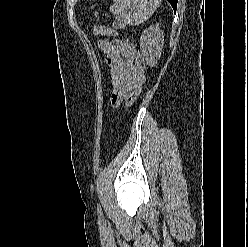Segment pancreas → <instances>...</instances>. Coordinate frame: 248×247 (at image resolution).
Instances as JSON below:
<instances>
[{"mask_svg":"<svg viewBox=\"0 0 248 247\" xmlns=\"http://www.w3.org/2000/svg\"><path fill=\"white\" fill-rule=\"evenodd\" d=\"M113 25H114L116 28H124V27H125L124 24H121V23H118V22H115Z\"/></svg>","mask_w":248,"mask_h":247,"instance_id":"obj_1","label":"pancreas"}]
</instances>
